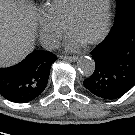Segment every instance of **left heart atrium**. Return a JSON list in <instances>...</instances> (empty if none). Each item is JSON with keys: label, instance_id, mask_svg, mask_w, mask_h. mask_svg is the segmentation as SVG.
<instances>
[{"label": "left heart atrium", "instance_id": "obj_1", "mask_svg": "<svg viewBox=\"0 0 135 135\" xmlns=\"http://www.w3.org/2000/svg\"><path fill=\"white\" fill-rule=\"evenodd\" d=\"M80 45H81V43L78 42L77 40H75L71 37L69 38L68 46H69L70 49L78 48Z\"/></svg>", "mask_w": 135, "mask_h": 135}]
</instances>
